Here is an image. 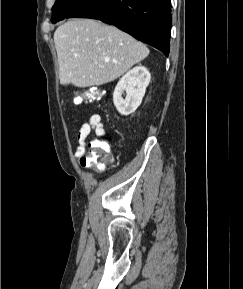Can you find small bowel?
Wrapping results in <instances>:
<instances>
[{
	"instance_id": "c3829d8e",
	"label": "small bowel",
	"mask_w": 243,
	"mask_h": 289,
	"mask_svg": "<svg viewBox=\"0 0 243 289\" xmlns=\"http://www.w3.org/2000/svg\"><path fill=\"white\" fill-rule=\"evenodd\" d=\"M92 133L98 138L107 136V131L99 114H92L88 122L83 123L77 133L78 146L75 150V156L83 167L87 166L82 163V158L86 155L87 139Z\"/></svg>"
}]
</instances>
